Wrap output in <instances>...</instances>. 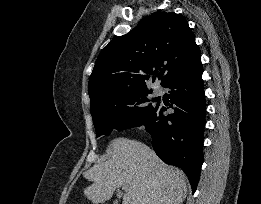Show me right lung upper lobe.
<instances>
[{
  "label": "right lung upper lobe",
  "mask_w": 261,
  "mask_h": 204,
  "mask_svg": "<svg viewBox=\"0 0 261 204\" xmlns=\"http://www.w3.org/2000/svg\"><path fill=\"white\" fill-rule=\"evenodd\" d=\"M200 54L184 17L173 12L147 16L99 54L88 84L91 107L125 92L147 90L146 83L156 70L164 86L194 65Z\"/></svg>",
  "instance_id": "obj_1"
}]
</instances>
